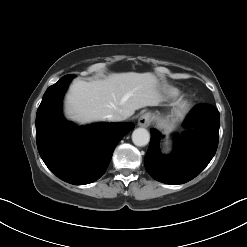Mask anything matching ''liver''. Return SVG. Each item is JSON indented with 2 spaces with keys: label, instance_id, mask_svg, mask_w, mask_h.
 Listing matches in <instances>:
<instances>
[{
  "label": "liver",
  "instance_id": "obj_1",
  "mask_svg": "<svg viewBox=\"0 0 247 247\" xmlns=\"http://www.w3.org/2000/svg\"><path fill=\"white\" fill-rule=\"evenodd\" d=\"M152 73H114L103 80H75L66 96V114L79 123L102 121L114 113L128 117L135 110L157 106L162 97Z\"/></svg>",
  "mask_w": 247,
  "mask_h": 247
}]
</instances>
